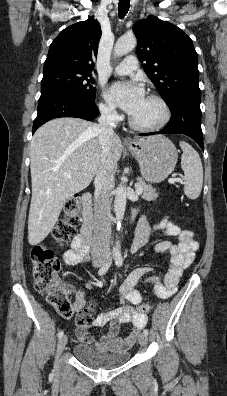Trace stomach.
<instances>
[{"label": "stomach", "instance_id": "obj_1", "mask_svg": "<svg viewBox=\"0 0 227 396\" xmlns=\"http://www.w3.org/2000/svg\"><path fill=\"white\" fill-rule=\"evenodd\" d=\"M128 150L139 163L142 177L150 183H160L174 170L178 154L174 144L157 135L136 140Z\"/></svg>", "mask_w": 227, "mask_h": 396}]
</instances>
